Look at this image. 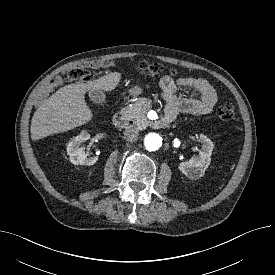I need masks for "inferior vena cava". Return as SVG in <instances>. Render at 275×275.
I'll use <instances>...</instances> for the list:
<instances>
[{"instance_id": "inferior-vena-cava-1", "label": "inferior vena cava", "mask_w": 275, "mask_h": 275, "mask_svg": "<svg viewBox=\"0 0 275 275\" xmlns=\"http://www.w3.org/2000/svg\"><path fill=\"white\" fill-rule=\"evenodd\" d=\"M124 138L128 142H134L138 138V128L135 126H128L124 131Z\"/></svg>"}]
</instances>
